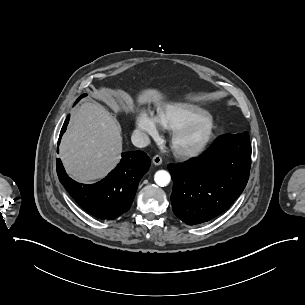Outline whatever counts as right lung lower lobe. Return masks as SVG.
I'll return each mask as SVG.
<instances>
[{
  "instance_id": "1",
  "label": "right lung lower lobe",
  "mask_w": 305,
  "mask_h": 305,
  "mask_svg": "<svg viewBox=\"0 0 305 305\" xmlns=\"http://www.w3.org/2000/svg\"><path fill=\"white\" fill-rule=\"evenodd\" d=\"M69 118L70 115L63 124L58 144ZM150 164V158L142 151L123 153L117 167L92 185L80 184L68 177L60 159L56 169L60 182L82 209L100 219H114L130 209L138 183Z\"/></svg>"
}]
</instances>
